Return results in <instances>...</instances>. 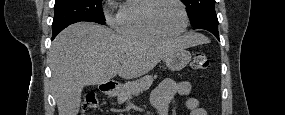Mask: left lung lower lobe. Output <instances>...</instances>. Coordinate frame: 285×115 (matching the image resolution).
<instances>
[{"instance_id": "obj_1", "label": "left lung lower lobe", "mask_w": 285, "mask_h": 115, "mask_svg": "<svg viewBox=\"0 0 285 115\" xmlns=\"http://www.w3.org/2000/svg\"><path fill=\"white\" fill-rule=\"evenodd\" d=\"M193 29L207 30L211 32L212 34H214L218 40H220L219 33H218L217 15H212V16H208V17L201 19L199 22H197L195 26H193Z\"/></svg>"}]
</instances>
